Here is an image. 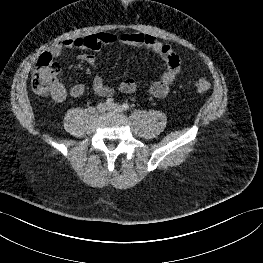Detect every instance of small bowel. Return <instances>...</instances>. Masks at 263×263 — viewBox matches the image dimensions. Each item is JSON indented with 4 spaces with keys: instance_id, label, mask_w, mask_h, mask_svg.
<instances>
[{
    "instance_id": "small-bowel-1",
    "label": "small bowel",
    "mask_w": 263,
    "mask_h": 263,
    "mask_svg": "<svg viewBox=\"0 0 263 263\" xmlns=\"http://www.w3.org/2000/svg\"><path fill=\"white\" fill-rule=\"evenodd\" d=\"M115 43L125 46L145 48L159 57L165 66V71L149 86L143 88L135 80L128 78L119 84V91L129 94L142 89L145 93L154 98L160 99L166 97L181 72V61L170 45L162 43L152 35L135 32L124 33L116 36L109 32H98L92 35L69 38L56 42L49 48V54L58 58L64 50L74 48L82 50H98L104 45H112ZM79 59L95 69L96 59L93 54L89 52L81 53ZM92 87L94 92L101 97H110L114 94V89L107 85L100 75L94 76ZM85 89L86 87L83 83H77L69 90H67L62 84H58L51 96L53 100L62 102L68 96L74 98L82 96Z\"/></svg>"
}]
</instances>
